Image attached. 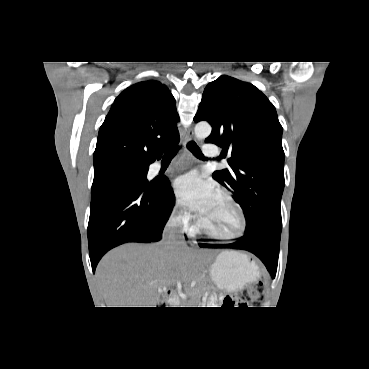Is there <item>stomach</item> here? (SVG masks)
<instances>
[{
  "mask_svg": "<svg viewBox=\"0 0 369 369\" xmlns=\"http://www.w3.org/2000/svg\"><path fill=\"white\" fill-rule=\"evenodd\" d=\"M211 278L225 292H235L259 276L258 268L244 254L222 252L210 268Z\"/></svg>",
  "mask_w": 369,
  "mask_h": 369,
  "instance_id": "obj_1",
  "label": "stomach"
}]
</instances>
